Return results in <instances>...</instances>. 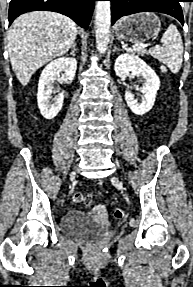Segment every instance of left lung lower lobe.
<instances>
[{
	"mask_svg": "<svg viewBox=\"0 0 193 287\" xmlns=\"http://www.w3.org/2000/svg\"><path fill=\"white\" fill-rule=\"evenodd\" d=\"M112 25L122 16L138 12H161L171 15L184 24L180 0H110Z\"/></svg>",
	"mask_w": 193,
	"mask_h": 287,
	"instance_id": "obj_1",
	"label": "left lung lower lobe"
}]
</instances>
